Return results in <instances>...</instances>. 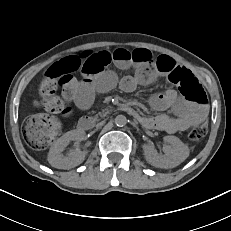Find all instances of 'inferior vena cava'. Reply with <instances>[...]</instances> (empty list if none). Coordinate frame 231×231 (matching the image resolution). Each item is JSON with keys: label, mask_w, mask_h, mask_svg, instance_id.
<instances>
[{"label": "inferior vena cava", "mask_w": 231, "mask_h": 231, "mask_svg": "<svg viewBox=\"0 0 231 231\" xmlns=\"http://www.w3.org/2000/svg\"><path fill=\"white\" fill-rule=\"evenodd\" d=\"M104 124H105V120L104 119H100L99 121L96 122V125L94 127L97 129L100 126H103Z\"/></svg>", "instance_id": "1"}]
</instances>
